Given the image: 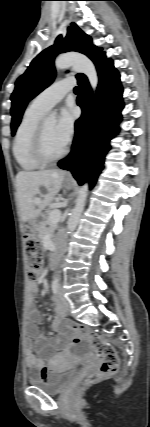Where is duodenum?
I'll return each mask as SVG.
<instances>
[{"label": "duodenum", "instance_id": "1", "mask_svg": "<svg viewBox=\"0 0 150 427\" xmlns=\"http://www.w3.org/2000/svg\"><path fill=\"white\" fill-rule=\"evenodd\" d=\"M56 261H57V254H56V253H53V254L51 255V257H50V261H49V263H50V267H51V268H54V267H55V265H56Z\"/></svg>", "mask_w": 150, "mask_h": 427}]
</instances>
